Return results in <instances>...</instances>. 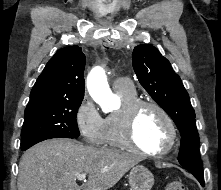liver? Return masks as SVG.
Here are the masks:
<instances>
[{"instance_id":"1","label":"liver","mask_w":221,"mask_h":190,"mask_svg":"<svg viewBox=\"0 0 221 190\" xmlns=\"http://www.w3.org/2000/svg\"><path fill=\"white\" fill-rule=\"evenodd\" d=\"M142 157L116 149L95 148L69 139H51L21 157L18 190H107ZM88 174L81 186L79 174Z\"/></svg>"}]
</instances>
